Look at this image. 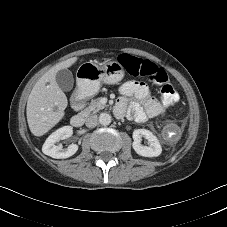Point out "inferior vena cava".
<instances>
[{
    "label": "inferior vena cava",
    "mask_w": 227,
    "mask_h": 227,
    "mask_svg": "<svg viewBox=\"0 0 227 227\" xmlns=\"http://www.w3.org/2000/svg\"><path fill=\"white\" fill-rule=\"evenodd\" d=\"M98 124V117L96 115H91L86 119V126L89 128H94Z\"/></svg>",
    "instance_id": "obj_1"
}]
</instances>
